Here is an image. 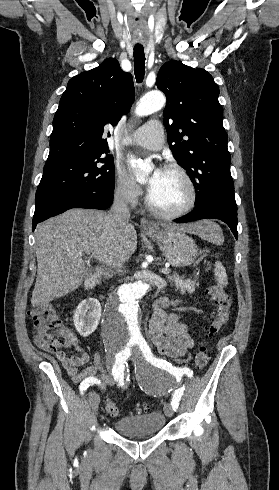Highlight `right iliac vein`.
Listing matches in <instances>:
<instances>
[{
	"mask_svg": "<svg viewBox=\"0 0 279 490\" xmlns=\"http://www.w3.org/2000/svg\"><path fill=\"white\" fill-rule=\"evenodd\" d=\"M89 400H90V403H91V407L95 413L94 415V418H95V421L96 420V414H97V411H98V407H99V396L96 392H92L90 395H89Z\"/></svg>",
	"mask_w": 279,
	"mask_h": 490,
	"instance_id": "63e3f726",
	"label": "right iliac vein"
}]
</instances>
